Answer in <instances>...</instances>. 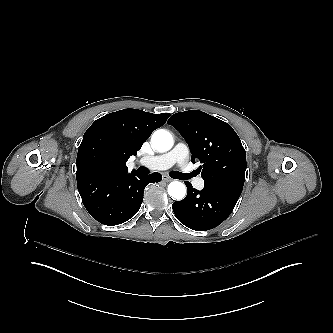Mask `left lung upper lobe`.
<instances>
[{
  "label": "left lung upper lobe",
  "mask_w": 333,
  "mask_h": 333,
  "mask_svg": "<svg viewBox=\"0 0 333 333\" xmlns=\"http://www.w3.org/2000/svg\"><path fill=\"white\" fill-rule=\"evenodd\" d=\"M168 123L188 143L191 161H200L206 187L229 188L242 192L245 181L246 153L241 141L226 122L202 111L176 113Z\"/></svg>",
  "instance_id": "left-lung-upper-lobe-1"
}]
</instances>
